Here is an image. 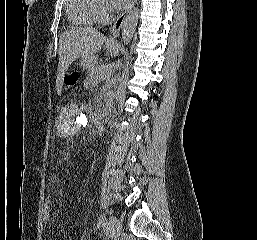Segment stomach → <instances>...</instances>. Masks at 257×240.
Here are the masks:
<instances>
[{"label":"stomach","mask_w":257,"mask_h":240,"mask_svg":"<svg viewBox=\"0 0 257 240\" xmlns=\"http://www.w3.org/2000/svg\"><path fill=\"white\" fill-rule=\"evenodd\" d=\"M117 45L116 44H106V50L110 55H115L117 53ZM95 64V59H89V58H82L81 59V67L84 70H90L91 68L94 67Z\"/></svg>","instance_id":"1"}]
</instances>
